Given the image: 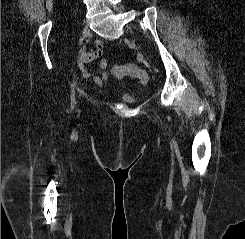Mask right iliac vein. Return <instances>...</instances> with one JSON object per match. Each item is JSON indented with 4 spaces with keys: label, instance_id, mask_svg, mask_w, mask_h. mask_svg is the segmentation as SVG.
Masks as SVG:
<instances>
[{
    "label": "right iliac vein",
    "instance_id": "63e3f726",
    "mask_svg": "<svg viewBox=\"0 0 245 239\" xmlns=\"http://www.w3.org/2000/svg\"><path fill=\"white\" fill-rule=\"evenodd\" d=\"M83 38H87L90 35V29L88 26H85L82 31Z\"/></svg>",
    "mask_w": 245,
    "mask_h": 239
}]
</instances>
